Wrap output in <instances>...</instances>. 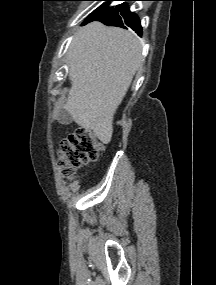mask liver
Returning a JSON list of instances; mask_svg holds the SVG:
<instances>
[{
  "label": "liver",
  "instance_id": "obj_1",
  "mask_svg": "<svg viewBox=\"0 0 216 285\" xmlns=\"http://www.w3.org/2000/svg\"><path fill=\"white\" fill-rule=\"evenodd\" d=\"M142 46L131 31L93 22L81 28L67 52L71 89L65 109L108 144L114 114L142 66Z\"/></svg>",
  "mask_w": 216,
  "mask_h": 285
}]
</instances>
